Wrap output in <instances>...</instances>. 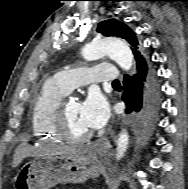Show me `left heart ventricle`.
I'll use <instances>...</instances> for the list:
<instances>
[{"label": "left heart ventricle", "mask_w": 188, "mask_h": 189, "mask_svg": "<svg viewBox=\"0 0 188 189\" xmlns=\"http://www.w3.org/2000/svg\"><path fill=\"white\" fill-rule=\"evenodd\" d=\"M67 126L73 135H82L90 131L81 117V104L78 101H69L67 105Z\"/></svg>", "instance_id": "left-heart-ventricle-1"}]
</instances>
